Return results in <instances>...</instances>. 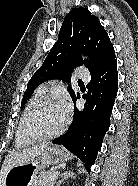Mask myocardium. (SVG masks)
Masks as SVG:
<instances>
[{
	"label": "myocardium",
	"mask_w": 138,
	"mask_h": 186,
	"mask_svg": "<svg viewBox=\"0 0 138 186\" xmlns=\"http://www.w3.org/2000/svg\"><path fill=\"white\" fill-rule=\"evenodd\" d=\"M49 104H59V102L55 98H52V97L43 98L39 102L35 103L23 116L22 124H21V130H22L23 136L26 139H28L30 141H33V142L34 141H47V140L57 138L58 136L62 135L66 131V129L69 125V122H70L69 115H66V120H65L64 125L58 131H56L55 133H52V134H49V135H44V136H39V135H35V134L31 133L28 130L27 122H28V119L32 116V114L35 111H37L38 109H40V108H42L46 105H49Z\"/></svg>",
	"instance_id": "myocardium-1"
}]
</instances>
